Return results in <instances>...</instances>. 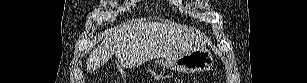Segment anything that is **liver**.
Instances as JSON below:
<instances>
[{
  "instance_id": "6515ba94",
  "label": "liver",
  "mask_w": 307,
  "mask_h": 83,
  "mask_svg": "<svg viewBox=\"0 0 307 83\" xmlns=\"http://www.w3.org/2000/svg\"><path fill=\"white\" fill-rule=\"evenodd\" d=\"M207 41L197 30L131 21L104 32L101 44L87 60V70L94 72L114 54L121 66H138L155 58L176 57L195 46H204Z\"/></svg>"
}]
</instances>
